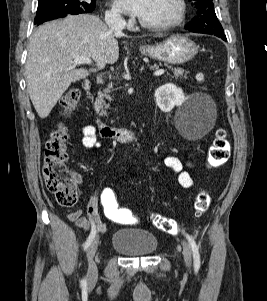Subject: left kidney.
I'll return each mask as SVG.
<instances>
[{
	"label": "left kidney",
	"mask_w": 267,
	"mask_h": 301,
	"mask_svg": "<svg viewBox=\"0 0 267 301\" xmlns=\"http://www.w3.org/2000/svg\"><path fill=\"white\" fill-rule=\"evenodd\" d=\"M184 98L182 89L172 83L162 85L155 91L156 104L163 112H170Z\"/></svg>",
	"instance_id": "obj_1"
}]
</instances>
